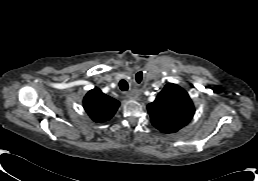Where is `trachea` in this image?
<instances>
[{"label": "trachea", "mask_w": 258, "mask_h": 181, "mask_svg": "<svg viewBox=\"0 0 258 181\" xmlns=\"http://www.w3.org/2000/svg\"><path fill=\"white\" fill-rule=\"evenodd\" d=\"M119 87L122 91H126L128 90L129 86H128V83L122 79L120 82H119Z\"/></svg>", "instance_id": "1"}]
</instances>
